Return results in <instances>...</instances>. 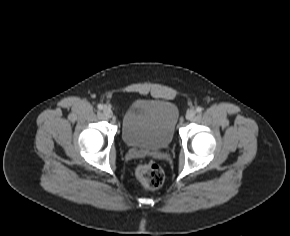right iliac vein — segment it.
<instances>
[{
	"label": "right iliac vein",
	"mask_w": 290,
	"mask_h": 236,
	"mask_svg": "<svg viewBox=\"0 0 290 236\" xmlns=\"http://www.w3.org/2000/svg\"><path fill=\"white\" fill-rule=\"evenodd\" d=\"M103 114L107 118H111L112 115H113L112 110L109 107H104L103 108Z\"/></svg>",
	"instance_id": "1"
}]
</instances>
